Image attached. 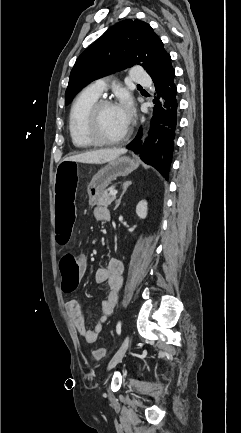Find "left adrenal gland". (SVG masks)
Returning a JSON list of instances; mask_svg holds the SVG:
<instances>
[{
	"label": "left adrenal gland",
	"mask_w": 241,
	"mask_h": 433,
	"mask_svg": "<svg viewBox=\"0 0 241 433\" xmlns=\"http://www.w3.org/2000/svg\"><path fill=\"white\" fill-rule=\"evenodd\" d=\"M131 184H132L131 181H127V182H124V183H123V185H122L123 191H122V194L120 195L119 199L116 201V206H115V208H114V211L119 207L123 195L125 194L126 190L128 189V187H129Z\"/></svg>",
	"instance_id": "obj_1"
}]
</instances>
